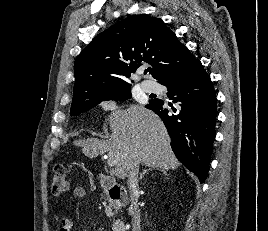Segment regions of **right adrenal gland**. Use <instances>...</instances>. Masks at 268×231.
Returning <instances> with one entry per match:
<instances>
[{
    "instance_id": "right-adrenal-gland-1",
    "label": "right adrenal gland",
    "mask_w": 268,
    "mask_h": 231,
    "mask_svg": "<svg viewBox=\"0 0 268 231\" xmlns=\"http://www.w3.org/2000/svg\"><path fill=\"white\" fill-rule=\"evenodd\" d=\"M151 170H158L160 172H162L164 175H167V172L165 171V169H162V168H157V167H150L148 169H145L143 170V172L140 174L139 176V180H142L144 175L148 172V171H151Z\"/></svg>"
}]
</instances>
